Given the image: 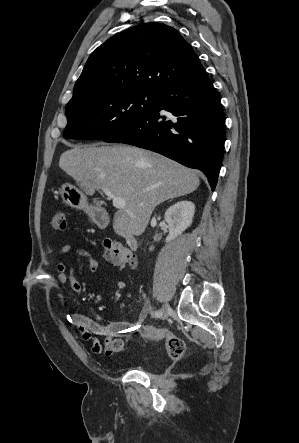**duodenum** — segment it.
I'll return each instance as SVG.
<instances>
[{
    "mask_svg": "<svg viewBox=\"0 0 299 443\" xmlns=\"http://www.w3.org/2000/svg\"><path fill=\"white\" fill-rule=\"evenodd\" d=\"M113 227L118 234H120L122 237H124V239L126 240L128 245L132 249L137 248V240H136L135 236L130 231H128L122 224H120L118 222H114Z\"/></svg>",
    "mask_w": 299,
    "mask_h": 443,
    "instance_id": "410a0bca",
    "label": "duodenum"
}]
</instances>
